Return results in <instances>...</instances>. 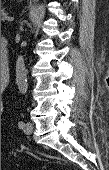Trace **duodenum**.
Segmentation results:
<instances>
[{"instance_id":"410a0bca","label":"duodenum","mask_w":109,"mask_h":170,"mask_svg":"<svg viewBox=\"0 0 109 170\" xmlns=\"http://www.w3.org/2000/svg\"><path fill=\"white\" fill-rule=\"evenodd\" d=\"M1 53H2V58L7 65V50H6V42L1 41Z\"/></svg>"}]
</instances>
